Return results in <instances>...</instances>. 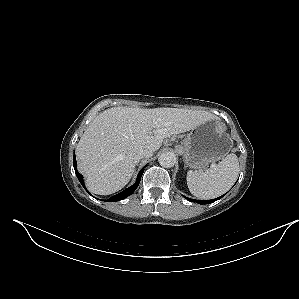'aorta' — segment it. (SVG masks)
<instances>
[{
  "label": "aorta",
  "mask_w": 299,
  "mask_h": 299,
  "mask_svg": "<svg viewBox=\"0 0 299 299\" xmlns=\"http://www.w3.org/2000/svg\"><path fill=\"white\" fill-rule=\"evenodd\" d=\"M159 164L164 168H171L176 163V155L172 152H164L158 158Z\"/></svg>",
  "instance_id": "aorta-1"
}]
</instances>
